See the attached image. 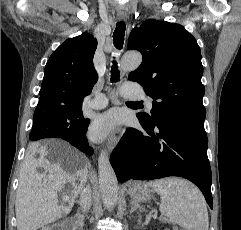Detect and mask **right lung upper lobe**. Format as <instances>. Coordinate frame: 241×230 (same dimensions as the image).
<instances>
[{"instance_id": "right-lung-upper-lobe-1", "label": "right lung upper lobe", "mask_w": 241, "mask_h": 230, "mask_svg": "<svg viewBox=\"0 0 241 230\" xmlns=\"http://www.w3.org/2000/svg\"><path fill=\"white\" fill-rule=\"evenodd\" d=\"M96 48L97 40L84 33L67 39L53 52L45 66L37 114L82 105L98 77L93 65Z\"/></svg>"}]
</instances>
